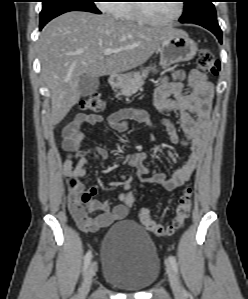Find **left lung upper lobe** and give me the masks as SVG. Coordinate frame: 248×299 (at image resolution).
<instances>
[{
    "mask_svg": "<svg viewBox=\"0 0 248 299\" xmlns=\"http://www.w3.org/2000/svg\"><path fill=\"white\" fill-rule=\"evenodd\" d=\"M213 0H184V12L179 19L181 23L217 21Z\"/></svg>",
    "mask_w": 248,
    "mask_h": 299,
    "instance_id": "1",
    "label": "left lung upper lobe"
}]
</instances>
